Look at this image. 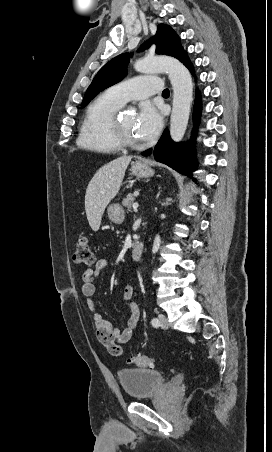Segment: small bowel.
Masks as SVG:
<instances>
[{
    "mask_svg": "<svg viewBox=\"0 0 272 452\" xmlns=\"http://www.w3.org/2000/svg\"><path fill=\"white\" fill-rule=\"evenodd\" d=\"M109 267V261L106 259H98L93 266L86 268L82 273V287L83 296L87 299V305L91 312V318L96 328V336L98 340L109 350L113 355H121L123 353L114 352L113 348L118 347L122 349V344L127 343L137 327L140 318V311L138 303L135 300L134 287L127 285L123 291V300L130 309V317L127 321L126 327L120 329L111 322L102 318V315L97 311L93 297L96 293L94 280ZM123 350V349H122Z\"/></svg>",
    "mask_w": 272,
    "mask_h": 452,
    "instance_id": "1",
    "label": "small bowel"
}]
</instances>
